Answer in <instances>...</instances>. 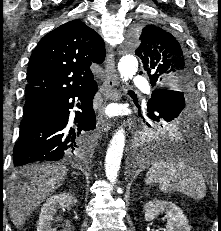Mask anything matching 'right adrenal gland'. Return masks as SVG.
I'll list each match as a JSON object with an SVG mask.
<instances>
[{
  "label": "right adrenal gland",
  "instance_id": "1",
  "mask_svg": "<svg viewBox=\"0 0 221 231\" xmlns=\"http://www.w3.org/2000/svg\"><path fill=\"white\" fill-rule=\"evenodd\" d=\"M74 174H75V175H79L78 173H76L75 171H73V172H72V175H74Z\"/></svg>",
  "mask_w": 221,
  "mask_h": 231
}]
</instances>
